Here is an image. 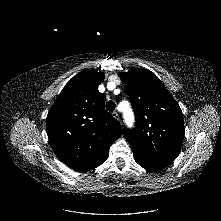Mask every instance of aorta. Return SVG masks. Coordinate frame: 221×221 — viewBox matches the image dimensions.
Here are the masks:
<instances>
[{"label": "aorta", "instance_id": "762f6f07", "mask_svg": "<svg viewBox=\"0 0 221 221\" xmlns=\"http://www.w3.org/2000/svg\"><path fill=\"white\" fill-rule=\"evenodd\" d=\"M125 121L127 122L128 125H132L133 121V115L130 111H127L125 114Z\"/></svg>", "mask_w": 221, "mask_h": 221}]
</instances>
